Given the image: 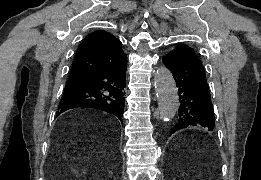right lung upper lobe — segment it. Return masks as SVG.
<instances>
[{"label":"right lung upper lobe","mask_w":261,"mask_h":180,"mask_svg":"<svg viewBox=\"0 0 261 180\" xmlns=\"http://www.w3.org/2000/svg\"><path fill=\"white\" fill-rule=\"evenodd\" d=\"M121 45L111 33H90L78 46L67 83H79L95 70L125 63L127 56Z\"/></svg>","instance_id":"right-lung-upper-lobe-1"}]
</instances>
